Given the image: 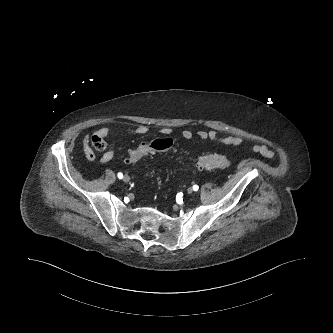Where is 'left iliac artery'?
<instances>
[{
  "instance_id": "obj_1",
  "label": "left iliac artery",
  "mask_w": 333,
  "mask_h": 333,
  "mask_svg": "<svg viewBox=\"0 0 333 333\" xmlns=\"http://www.w3.org/2000/svg\"><path fill=\"white\" fill-rule=\"evenodd\" d=\"M198 189H199V186H198V185H196V184L193 185V190H194V191H198Z\"/></svg>"
}]
</instances>
